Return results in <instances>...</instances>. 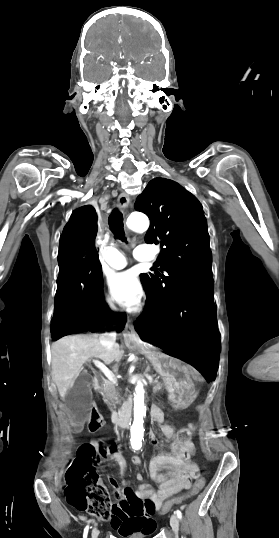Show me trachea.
Masks as SVG:
<instances>
[{"label":"trachea","mask_w":279,"mask_h":538,"mask_svg":"<svg viewBox=\"0 0 279 538\" xmlns=\"http://www.w3.org/2000/svg\"><path fill=\"white\" fill-rule=\"evenodd\" d=\"M108 224L115 238L128 244L124 232L123 215L117 208H115L109 215Z\"/></svg>","instance_id":"1"}]
</instances>
